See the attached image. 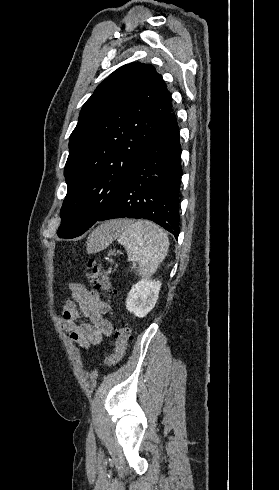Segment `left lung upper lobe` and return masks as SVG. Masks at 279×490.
<instances>
[{
  "label": "left lung upper lobe",
  "instance_id": "5c2ea615",
  "mask_svg": "<svg viewBox=\"0 0 279 490\" xmlns=\"http://www.w3.org/2000/svg\"><path fill=\"white\" fill-rule=\"evenodd\" d=\"M171 114V94L152 65H124L99 84L69 139L59 237L82 235L111 208L142 148Z\"/></svg>",
  "mask_w": 279,
  "mask_h": 490
}]
</instances>
